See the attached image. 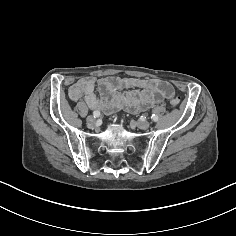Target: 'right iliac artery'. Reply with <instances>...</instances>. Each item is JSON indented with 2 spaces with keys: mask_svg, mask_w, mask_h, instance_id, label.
Wrapping results in <instances>:
<instances>
[{
  "mask_svg": "<svg viewBox=\"0 0 236 236\" xmlns=\"http://www.w3.org/2000/svg\"><path fill=\"white\" fill-rule=\"evenodd\" d=\"M100 116V112L99 111H94L93 112V117L94 118H98Z\"/></svg>",
  "mask_w": 236,
  "mask_h": 236,
  "instance_id": "obj_1",
  "label": "right iliac artery"
}]
</instances>
